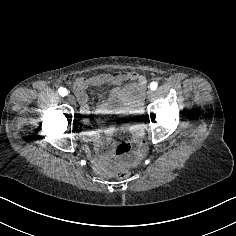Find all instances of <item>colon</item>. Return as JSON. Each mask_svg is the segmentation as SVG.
<instances>
[{"instance_id": "5ec220e1", "label": "colon", "mask_w": 236, "mask_h": 236, "mask_svg": "<svg viewBox=\"0 0 236 236\" xmlns=\"http://www.w3.org/2000/svg\"><path fill=\"white\" fill-rule=\"evenodd\" d=\"M115 176L119 180H126L131 176V172L127 169H120L116 172Z\"/></svg>"}]
</instances>
